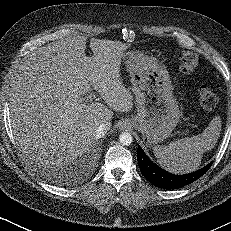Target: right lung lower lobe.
<instances>
[{
	"label": "right lung lower lobe",
	"instance_id": "98d812e1",
	"mask_svg": "<svg viewBox=\"0 0 231 231\" xmlns=\"http://www.w3.org/2000/svg\"><path fill=\"white\" fill-rule=\"evenodd\" d=\"M89 161H91L89 159ZM87 161V162H89ZM83 166V165H82ZM80 170H82L81 166H78V168H73L66 171H45L44 176L50 181H53L57 184H70L73 183L79 174Z\"/></svg>",
	"mask_w": 231,
	"mask_h": 231
}]
</instances>
